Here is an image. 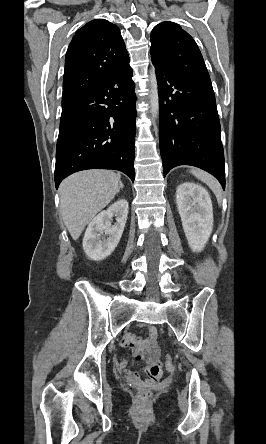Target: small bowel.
<instances>
[{
	"instance_id": "1",
	"label": "small bowel",
	"mask_w": 266,
	"mask_h": 444,
	"mask_svg": "<svg viewBox=\"0 0 266 444\" xmlns=\"http://www.w3.org/2000/svg\"><path fill=\"white\" fill-rule=\"evenodd\" d=\"M149 337L139 339L131 335H127L122 339V346L130 348L136 359H144L148 363V378L145 382L141 381L140 375L128 368V360L122 359L118 367L126 375L127 379L134 385L154 386L160 380L163 374L162 363L158 357L157 332L154 327L150 328Z\"/></svg>"
}]
</instances>
